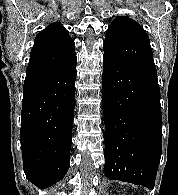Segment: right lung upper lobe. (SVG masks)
<instances>
[{"instance_id":"1","label":"right lung upper lobe","mask_w":178,"mask_h":195,"mask_svg":"<svg viewBox=\"0 0 178 195\" xmlns=\"http://www.w3.org/2000/svg\"><path fill=\"white\" fill-rule=\"evenodd\" d=\"M76 62L75 44L59 23L50 24L35 38L27 73L68 67Z\"/></svg>"}]
</instances>
